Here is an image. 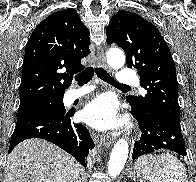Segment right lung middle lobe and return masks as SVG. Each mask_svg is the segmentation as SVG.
Wrapping results in <instances>:
<instances>
[{
  "label": "right lung middle lobe",
  "instance_id": "1",
  "mask_svg": "<svg viewBox=\"0 0 196 182\" xmlns=\"http://www.w3.org/2000/svg\"><path fill=\"white\" fill-rule=\"evenodd\" d=\"M61 112H66L63 104V96L20 105L18 109L17 120L39 113H61Z\"/></svg>",
  "mask_w": 196,
  "mask_h": 182
}]
</instances>
